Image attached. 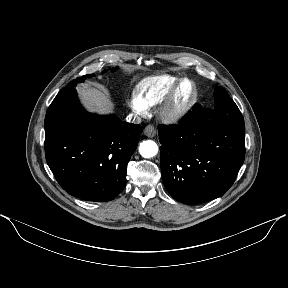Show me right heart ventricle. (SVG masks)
<instances>
[{
    "label": "right heart ventricle",
    "instance_id": "obj_1",
    "mask_svg": "<svg viewBox=\"0 0 288 288\" xmlns=\"http://www.w3.org/2000/svg\"><path fill=\"white\" fill-rule=\"evenodd\" d=\"M179 78L171 75L153 76L143 79L136 87V96L146 108L163 102Z\"/></svg>",
    "mask_w": 288,
    "mask_h": 288
}]
</instances>
